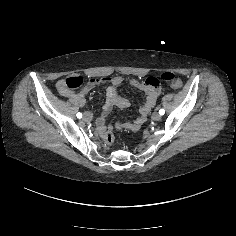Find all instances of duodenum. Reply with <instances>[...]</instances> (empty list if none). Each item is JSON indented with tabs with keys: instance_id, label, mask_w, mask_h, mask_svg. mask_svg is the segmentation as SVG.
<instances>
[{
	"instance_id": "410a0bca",
	"label": "duodenum",
	"mask_w": 236,
	"mask_h": 236,
	"mask_svg": "<svg viewBox=\"0 0 236 236\" xmlns=\"http://www.w3.org/2000/svg\"><path fill=\"white\" fill-rule=\"evenodd\" d=\"M107 82L108 83H111L112 86H110V91H109V95H108V103L110 104H114V103H118L120 105H123V100H121L120 98H118L116 96V90H115V87L120 83V81L118 79H110L108 78L107 79ZM133 85L136 86V87H139L141 89H143L148 97L144 103L143 106L146 105V103L150 100V99H153L154 96L156 95V88L154 87V84H148V83H139L137 81H133ZM73 100L77 103V104H82L83 102V99L82 98H73ZM142 106V107H143ZM118 127H127V128H131L132 127V124H127L125 126H121L119 125Z\"/></svg>"
}]
</instances>
